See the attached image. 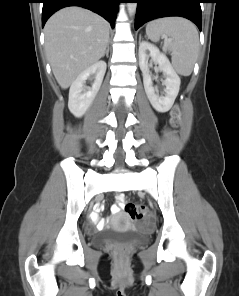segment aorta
<instances>
[{"label": "aorta", "mask_w": 239, "mask_h": 296, "mask_svg": "<svg viewBox=\"0 0 239 296\" xmlns=\"http://www.w3.org/2000/svg\"><path fill=\"white\" fill-rule=\"evenodd\" d=\"M137 3H127V10L130 16H133L136 12Z\"/></svg>", "instance_id": "obj_1"}]
</instances>
